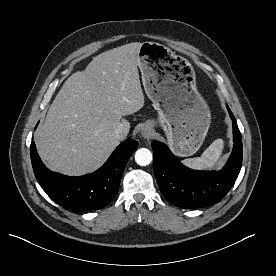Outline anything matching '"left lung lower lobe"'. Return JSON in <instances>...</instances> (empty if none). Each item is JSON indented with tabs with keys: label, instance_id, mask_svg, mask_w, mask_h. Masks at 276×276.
<instances>
[{
	"label": "left lung lower lobe",
	"instance_id": "obj_1",
	"mask_svg": "<svg viewBox=\"0 0 276 276\" xmlns=\"http://www.w3.org/2000/svg\"><path fill=\"white\" fill-rule=\"evenodd\" d=\"M233 121L234 148L220 171H195L183 166L161 142L154 141L153 169L163 196L181 208H201L218 203L234 185L242 165V139Z\"/></svg>",
	"mask_w": 276,
	"mask_h": 276
}]
</instances>
